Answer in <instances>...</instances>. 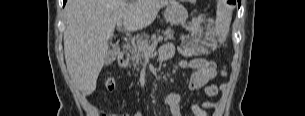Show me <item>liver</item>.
I'll return each instance as SVG.
<instances>
[{
    "label": "liver",
    "mask_w": 305,
    "mask_h": 116,
    "mask_svg": "<svg viewBox=\"0 0 305 116\" xmlns=\"http://www.w3.org/2000/svg\"><path fill=\"white\" fill-rule=\"evenodd\" d=\"M173 1L68 0L64 54L68 73L78 87L87 93L96 89L117 22H123L125 31L141 30Z\"/></svg>",
    "instance_id": "liver-1"
}]
</instances>
